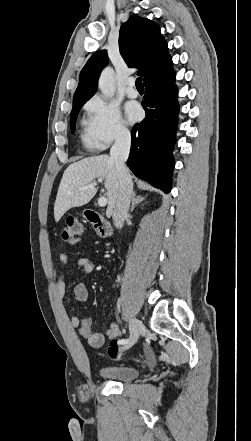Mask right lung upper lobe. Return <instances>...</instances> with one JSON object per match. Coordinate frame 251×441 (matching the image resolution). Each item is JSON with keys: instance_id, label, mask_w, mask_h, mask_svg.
I'll return each mask as SVG.
<instances>
[{"instance_id": "cb5924a9", "label": "right lung upper lobe", "mask_w": 251, "mask_h": 441, "mask_svg": "<svg viewBox=\"0 0 251 441\" xmlns=\"http://www.w3.org/2000/svg\"><path fill=\"white\" fill-rule=\"evenodd\" d=\"M119 50L128 67L139 68L138 75L144 77V82L172 66L167 42L160 33L159 26L136 15L131 16L120 28ZM107 64L105 50L98 51L89 58L81 70L73 102L90 99L95 94L99 75Z\"/></svg>"}]
</instances>
